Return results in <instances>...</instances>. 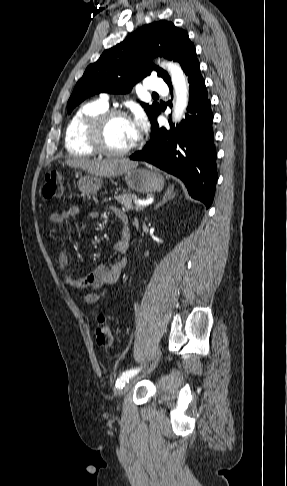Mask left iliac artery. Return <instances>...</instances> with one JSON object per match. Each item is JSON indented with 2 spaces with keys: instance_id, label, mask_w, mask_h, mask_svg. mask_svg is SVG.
Here are the masks:
<instances>
[{
  "instance_id": "1",
  "label": "left iliac artery",
  "mask_w": 287,
  "mask_h": 486,
  "mask_svg": "<svg viewBox=\"0 0 287 486\" xmlns=\"http://www.w3.org/2000/svg\"><path fill=\"white\" fill-rule=\"evenodd\" d=\"M139 369H130L124 372L116 382V387L118 389H122L125 386V383L129 381L131 377H133L135 374H137Z\"/></svg>"
}]
</instances>
